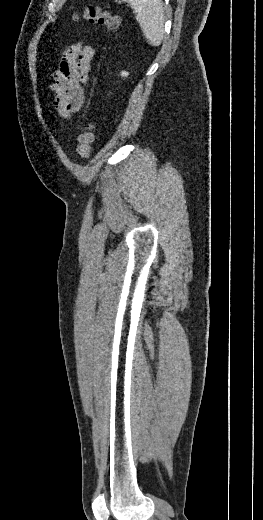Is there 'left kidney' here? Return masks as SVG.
Here are the masks:
<instances>
[{"label":"left kidney","mask_w":263,"mask_h":520,"mask_svg":"<svg viewBox=\"0 0 263 520\" xmlns=\"http://www.w3.org/2000/svg\"><path fill=\"white\" fill-rule=\"evenodd\" d=\"M128 74H129V73H128V72H126V71H122V72H121V75H122V77H127V76H128Z\"/></svg>","instance_id":"left-kidney-1"}]
</instances>
